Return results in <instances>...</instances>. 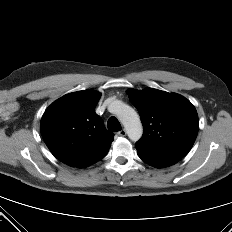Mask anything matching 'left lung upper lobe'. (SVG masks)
<instances>
[{
	"mask_svg": "<svg viewBox=\"0 0 232 232\" xmlns=\"http://www.w3.org/2000/svg\"><path fill=\"white\" fill-rule=\"evenodd\" d=\"M127 93L144 127L143 136L135 145L138 155L186 156L199 128L198 115L191 102L181 95L153 88L131 89Z\"/></svg>",
	"mask_w": 232,
	"mask_h": 232,
	"instance_id": "5c2ea615",
	"label": "left lung upper lobe"
}]
</instances>
